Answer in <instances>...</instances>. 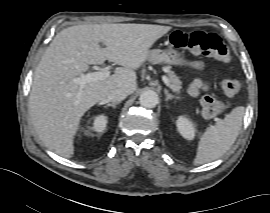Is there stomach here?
<instances>
[{
  "label": "stomach",
  "mask_w": 270,
  "mask_h": 213,
  "mask_svg": "<svg viewBox=\"0 0 270 213\" xmlns=\"http://www.w3.org/2000/svg\"><path fill=\"white\" fill-rule=\"evenodd\" d=\"M147 60L154 64L188 65L200 71L205 69L204 62L188 61L185 59L183 52L173 48L168 50H149Z\"/></svg>",
  "instance_id": "stomach-1"
}]
</instances>
